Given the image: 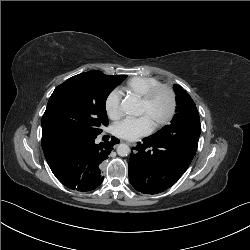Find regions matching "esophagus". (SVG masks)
Returning <instances> with one entry per match:
<instances>
[{"mask_svg": "<svg viewBox=\"0 0 250 250\" xmlns=\"http://www.w3.org/2000/svg\"><path fill=\"white\" fill-rule=\"evenodd\" d=\"M129 146H133L134 144L130 143V142H126Z\"/></svg>", "mask_w": 250, "mask_h": 250, "instance_id": "obj_1", "label": "esophagus"}]
</instances>
